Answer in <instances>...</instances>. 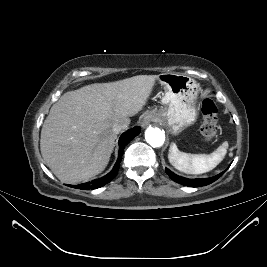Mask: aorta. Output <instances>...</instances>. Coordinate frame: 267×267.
<instances>
[{"label":"aorta","instance_id":"762f6f07","mask_svg":"<svg viewBox=\"0 0 267 267\" xmlns=\"http://www.w3.org/2000/svg\"><path fill=\"white\" fill-rule=\"evenodd\" d=\"M145 139L152 147H161L165 141V133L157 127H148L145 131Z\"/></svg>","mask_w":267,"mask_h":267}]
</instances>
